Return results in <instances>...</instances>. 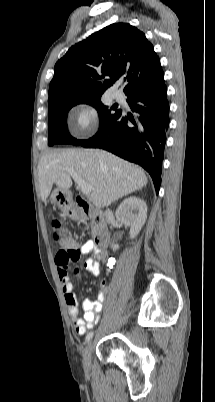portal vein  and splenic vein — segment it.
Wrapping results in <instances>:
<instances>
[{
  "instance_id": "18ae733b",
  "label": "portal vein and splenic vein",
  "mask_w": 215,
  "mask_h": 402,
  "mask_svg": "<svg viewBox=\"0 0 215 402\" xmlns=\"http://www.w3.org/2000/svg\"><path fill=\"white\" fill-rule=\"evenodd\" d=\"M66 171L75 181V183L80 187L82 194L88 196L91 194L92 186L85 182L75 171L69 168H64Z\"/></svg>"
}]
</instances>
